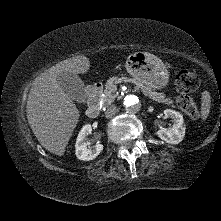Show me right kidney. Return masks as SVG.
<instances>
[{
	"mask_svg": "<svg viewBox=\"0 0 221 221\" xmlns=\"http://www.w3.org/2000/svg\"><path fill=\"white\" fill-rule=\"evenodd\" d=\"M92 133V127L90 124H86L82 127L81 131L78 134L75 149L76 157L79 160L90 161L95 159L103 150V145L99 142L94 146L93 149H88L85 139L88 135Z\"/></svg>",
	"mask_w": 221,
	"mask_h": 221,
	"instance_id": "right-kidney-1",
	"label": "right kidney"
}]
</instances>
